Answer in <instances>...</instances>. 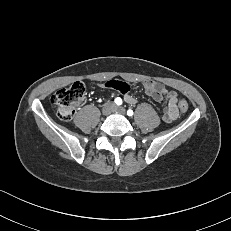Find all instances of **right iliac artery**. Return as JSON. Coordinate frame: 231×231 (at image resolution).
I'll return each instance as SVG.
<instances>
[{
    "instance_id": "82829eb1",
    "label": "right iliac artery",
    "mask_w": 231,
    "mask_h": 231,
    "mask_svg": "<svg viewBox=\"0 0 231 231\" xmlns=\"http://www.w3.org/2000/svg\"><path fill=\"white\" fill-rule=\"evenodd\" d=\"M115 103L117 104V105H121L122 104V99L121 98H116L115 99Z\"/></svg>"
}]
</instances>
